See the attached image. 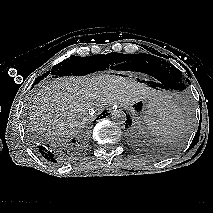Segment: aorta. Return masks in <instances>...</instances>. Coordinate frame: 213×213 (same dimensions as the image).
Returning <instances> with one entry per match:
<instances>
[{
    "label": "aorta",
    "instance_id": "762f6f07",
    "mask_svg": "<svg viewBox=\"0 0 213 213\" xmlns=\"http://www.w3.org/2000/svg\"><path fill=\"white\" fill-rule=\"evenodd\" d=\"M111 118L118 125H124L127 120L126 114L122 110H115L111 114Z\"/></svg>",
    "mask_w": 213,
    "mask_h": 213
}]
</instances>
